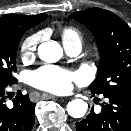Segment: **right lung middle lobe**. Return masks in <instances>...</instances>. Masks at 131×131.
Segmentation results:
<instances>
[{"label":"right lung middle lobe","instance_id":"1","mask_svg":"<svg viewBox=\"0 0 131 131\" xmlns=\"http://www.w3.org/2000/svg\"><path fill=\"white\" fill-rule=\"evenodd\" d=\"M26 31L7 33L0 32V85H7L16 81V51L20 39Z\"/></svg>","mask_w":131,"mask_h":131}]
</instances>
